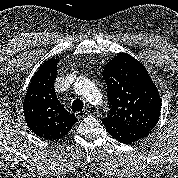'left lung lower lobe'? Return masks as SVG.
Wrapping results in <instances>:
<instances>
[{"label":"left lung lower lobe","instance_id":"1","mask_svg":"<svg viewBox=\"0 0 178 178\" xmlns=\"http://www.w3.org/2000/svg\"><path fill=\"white\" fill-rule=\"evenodd\" d=\"M101 121L111 136L125 144L134 143L151 132L144 128L119 124L109 120L102 119Z\"/></svg>","mask_w":178,"mask_h":178}]
</instances>
